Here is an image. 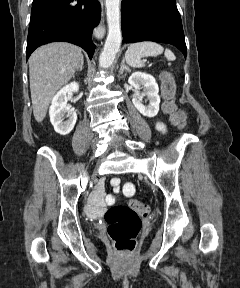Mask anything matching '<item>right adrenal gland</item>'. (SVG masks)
<instances>
[{
	"label": "right adrenal gland",
	"instance_id": "1",
	"mask_svg": "<svg viewBox=\"0 0 240 288\" xmlns=\"http://www.w3.org/2000/svg\"><path fill=\"white\" fill-rule=\"evenodd\" d=\"M83 64H84V62H82V63H81V65H80L79 69H77V72H78V71H82V70H83Z\"/></svg>",
	"mask_w": 240,
	"mask_h": 288
}]
</instances>
